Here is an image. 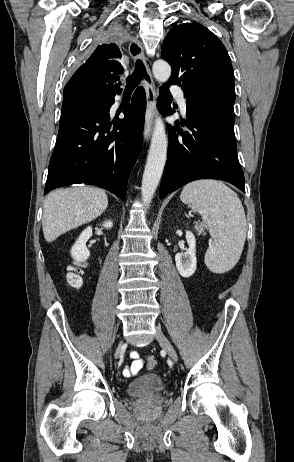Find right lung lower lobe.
<instances>
[{
  "mask_svg": "<svg viewBox=\"0 0 294 462\" xmlns=\"http://www.w3.org/2000/svg\"><path fill=\"white\" fill-rule=\"evenodd\" d=\"M114 96L89 109L61 114L44 195L58 187L85 183L125 200L127 180L143 140L146 98L139 87L123 111L125 117L109 131Z\"/></svg>",
  "mask_w": 294,
  "mask_h": 462,
  "instance_id": "right-lung-lower-lobe-1",
  "label": "right lung lower lobe"
}]
</instances>
